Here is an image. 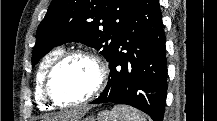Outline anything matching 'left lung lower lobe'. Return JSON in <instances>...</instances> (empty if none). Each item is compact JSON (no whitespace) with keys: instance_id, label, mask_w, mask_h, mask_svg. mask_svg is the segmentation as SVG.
I'll list each match as a JSON object with an SVG mask.
<instances>
[{"instance_id":"0a47b994","label":"left lung lower lobe","mask_w":217,"mask_h":121,"mask_svg":"<svg viewBox=\"0 0 217 121\" xmlns=\"http://www.w3.org/2000/svg\"><path fill=\"white\" fill-rule=\"evenodd\" d=\"M108 62L107 86L91 104H127L163 121L167 59L159 0H137Z\"/></svg>"}]
</instances>
